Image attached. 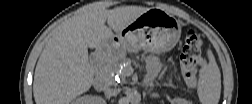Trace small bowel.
<instances>
[{
	"instance_id": "obj_1",
	"label": "small bowel",
	"mask_w": 252,
	"mask_h": 104,
	"mask_svg": "<svg viewBox=\"0 0 252 104\" xmlns=\"http://www.w3.org/2000/svg\"><path fill=\"white\" fill-rule=\"evenodd\" d=\"M148 64V77L149 79H154L159 73V64L157 60L150 57L147 61Z\"/></svg>"
}]
</instances>
